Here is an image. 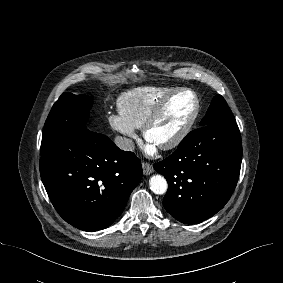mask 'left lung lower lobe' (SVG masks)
Wrapping results in <instances>:
<instances>
[{"label":"left lung lower lobe","instance_id":"0a47b994","mask_svg":"<svg viewBox=\"0 0 283 283\" xmlns=\"http://www.w3.org/2000/svg\"><path fill=\"white\" fill-rule=\"evenodd\" d=\"M241 160L236 122L210 124L190 132L172 155L154 164L168 182L163 199L166 211L186 224L212 217L230 199Z\"/></svg>","mask_w":283,"mask_h":283}]
</instances>
